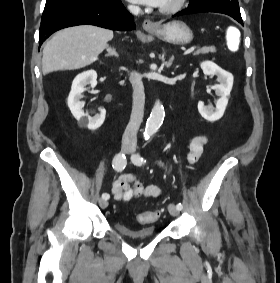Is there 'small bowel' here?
I'll list each match as a JSON object with an SVG mask.
<instances>
[{
	"label": "small bowel",
	"instance_id": "small-bowel-1",
	"mask_svg": "<svg viewBox=\"0 0 280 283\" xmlns=\"http://www.w3.org/2000/svg\"><path fill=\"white\" fill-rule=\"evenodd\" d=\"M208 143L205 135L195 136L189 145L187 161L194 164L203 153L204 147ZM112 195L115 200L128 202L134 198H155L161 194V189L154 185L144 186L133 175L123 173L112 186Z\"/></svg>",
	"mask_w": 280,
	"mask_h": 283
}]
</instances>
